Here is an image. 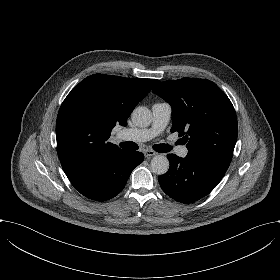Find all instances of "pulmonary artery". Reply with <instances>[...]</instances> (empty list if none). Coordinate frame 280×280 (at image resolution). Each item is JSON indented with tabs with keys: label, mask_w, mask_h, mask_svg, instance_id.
Masks as SVG:
<instances>
[{
	"label": "pulmonary artery",
	"mask_w": 280,
	"mask_h": 280,
	"mask_svg": "<svg viewBox=\"0 0 280 280\" xmlns=\"http://www.w3.org/2000/svg\"><path fill=\"white\" fill-rule=\"evenodd\" d=\"M172 114V107L167 102H157L152 106V121L150 128L139 129H125L124 134L131 136L138 142H145L160 134H162L167 127ZM176 153L180 157H186L188 148L183 145L176 149Z\"/></svg>",
	"instance_id": "pulmonary-artery-1"
}]
</instances>
